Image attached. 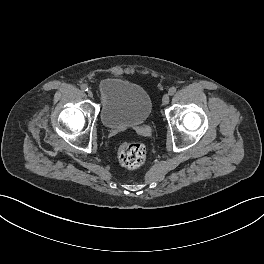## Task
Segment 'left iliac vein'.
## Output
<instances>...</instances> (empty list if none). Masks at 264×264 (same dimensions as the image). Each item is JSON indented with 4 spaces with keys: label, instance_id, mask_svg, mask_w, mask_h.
Returning a JSON list of instances; mask_svg holds the SVG:
<instances>
[{
    "label": "left iliac vein",
    "instance_id": "4c4485c4",
    "mask_svg": "<svg viewBox=\"0 0 264 264\" xmlns=\"http://www.w3.org/2000/svg\"><path fill=\"white\" fill-rule=\"evenodd\" d=\"M169 100H170L169 95H168V94H165V95L163 96V98H162V103H163V105L168 104V103H169Z\"/></svg>",
    "mask_w": 264,
    "mask_h": 264
}]
</instances>
